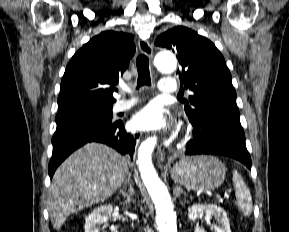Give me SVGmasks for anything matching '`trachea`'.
<instances>
[{"label": "trachea", "instance_id": "trachea-1", "mask_svg": "<svg viewBox=\"0 0 289 232\" xmlns=\"http://www.w3.org/2000/svg\"><path fill=\"white\" fill-rule=\"evenodd\" d=\"M136 65L138 70L137 88L144 85H151L150 71H149V59L146 55L140 54L136 59Z\"/></svg>", "mask_w": 289, "mask_h": 232}]
</instances>
